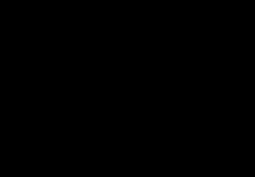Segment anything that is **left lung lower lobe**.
<instances>
[{
	"instance_id": "1",
	"label": "left lung lower lobe",
	"mask_w": 255,
	"mask_h": 177,
	"mask_svg": "<svg viewBox=\"0 0 255 177\" xmlns=\"http://www.w3.org/2000/svg\"><path fill=\"white\" fill-rule=\"evenodd\" d=\"M176 117L173 110L166 106L161 105V111L159 115V122L161 123L162 131L168 132L172 126V123Z\"/></svg>"
}]
</instances>
